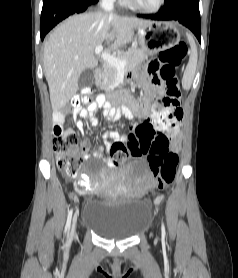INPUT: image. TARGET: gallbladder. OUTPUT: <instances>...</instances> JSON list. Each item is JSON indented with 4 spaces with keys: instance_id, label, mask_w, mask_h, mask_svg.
I'll list each match as a JSON object with an SVG mask.
<instances>
[{
    "instance_id": "gallbladder-1",
    "label": "gallbladder",
    "mask_w": 238,
    "mask_h": 278,
    "mask_svg": "<svg viewBox=\"0 0 238 278\" xmlns=\"http://www.w3.org/2000/svg\"><path fill=\"white\" fill-rule=\"evenodd\" d=\"M92 82H93V70L90 68L83 70L78 80L79 87L87 86Z\"/></svg>"
}]
</instances>
